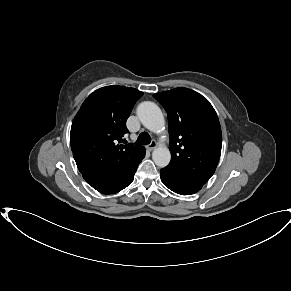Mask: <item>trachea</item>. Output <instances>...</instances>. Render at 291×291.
Returning <instances> with one entry per match:
<instances>
[{"label":"trachea","mask_w":291,"mask_h":291,"mask_svg":"<svg viewBox=\"0 0 291 291\" xmlns=\"http://www.w3.org/2000/svg\"><path fill=\"white\" fill-rule=\"evenodd\" d=\"M151 142V137L147 132H143L138 136L136 144L147 145Z\"/></svg>","instance_id":"obj_1"}]
</instances>
